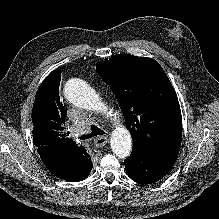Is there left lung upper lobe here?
I'll return each mask as SVG.
<instances>
[{"label":"left lung upper lobe","instance_id":"left-lung-upper-lobe-1","mask_svg":"<svg viewBox=\"0 0 219 219\" xmlns=\"http://www.w3.org/2000/svg\"><path fill=\"white\" fill-rule=\"evenodd\" d=\"M117 97L133 139V149L178 155L182 120L178 98L153 59L115 55L96 66Z\"/></svg>","mask_w":219,"mask_h":219}]
</instances>
